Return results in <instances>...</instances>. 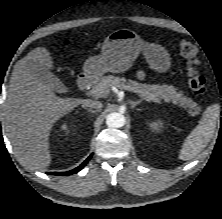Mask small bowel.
I'll use <instances>...</instances> for the list:
<instances>
[{
    "mask_svg": "<svg viewBox=\"0 0 222 219\" xmlns=\"http://www.w3.org/2000/svg\"><path fill=\"white\" fill-rule=\"evenodd\" d=\"M144 76H145V74H144L143 71H140V72H138V74H137V77H138L139 79H143Z\"/></svg>",
    "mask_w": 222,
    "mask_h": 219,
    "instance_id": "obj_1",
    "label": "small bowel"
}]
</instances>
